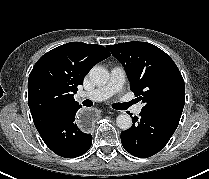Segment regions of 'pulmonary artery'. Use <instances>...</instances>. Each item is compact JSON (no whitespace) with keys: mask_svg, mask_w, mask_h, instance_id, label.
I'll return each instance as SVG.
<instances>
[{"mask_svg":"<svg viewBox=\"0 0 209 179\" xmlns=\"http://www.w3.org/2000/svg\"><path fill=\"white\" fill-rule=\"evenodd\" d=\"M125 82V70L122 66H114L110 71V79L108 83L102 87L96 88L90 92H83L80 94L82 99H89L92 101H103L112 95L120 92ZM142 105H136L133 108L135 114H140Z\"/></svg>","mask_w":209,"mask_h":179,"instance_id":"1","label":"pulmonary artery"}]
</instances>
